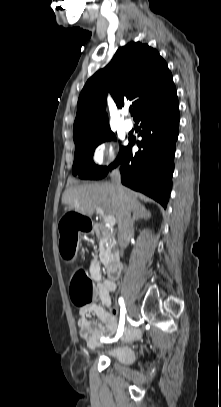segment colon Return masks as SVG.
Masks as SVG:
<instances>
[{
  "label": "colon",
  "instance_id": "obj_1",
  "mask_svg": "<svg viewBox=\"0 0 221 407\" xmlns=\"http://www.w3.org/2000/svg\"><path fill=\"white\" fill-rule=\"evenodd\" d=\"M59 232L61 234V249L65 258L72 257L76 248V239H92L93 231H97L99 225L92 222L91 216H80L78 210H68L66 216L59 218ZM93 283L85 271H75L71 284L70 295L74 304L85 307L91 300Z\"/></svg>",
  "mask_w": 221,
  "mask_h": 407
}]
</instances>
